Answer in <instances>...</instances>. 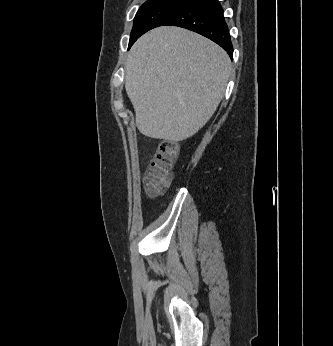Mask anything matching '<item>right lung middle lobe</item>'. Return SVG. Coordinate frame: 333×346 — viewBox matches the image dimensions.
Segmentation results:
<instances>
[{
	"label": "right lung middle lobe",
	"mask_w": 333,
	"mask_h": 346,
	"mask_svg": "<svg viewBox=\"0 0 333 346\" xmlns=\"http://www.w3.org/2000/svg\"><path fill=\"white\" fill-rule=\"evenodd\" d=\"M185 2L186 0H147L135 16L129 48L142 34L163 25Z\"/></svg>",
	"instance_id": "dd1d6c3e"
}]
</instances>
